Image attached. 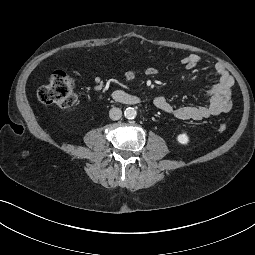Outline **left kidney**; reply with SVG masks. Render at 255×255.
Here are the masks:
<instances>
[{
  "label": "left kidney",
  "mask_w": 255,
  "mask_h": 255,
  "mask_svg": "<svg viewBox=\"0 0 255 255\" xmlns=\"http://www.w3.org/2000/svg\"><path fill=\"white\" fill-rule=\"evenodd\" d=\"M177 141L180 143V144H188L189 142V137L186 133H182V134H179L177 136Z\"/></svg>",
  "instance_id": "5707ae66"
}]
</instances>
